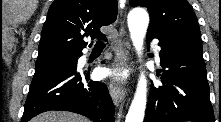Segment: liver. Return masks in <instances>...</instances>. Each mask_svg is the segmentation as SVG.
Wrapping results in <instances>:
<instances>
[{"label": "liver", "instance_id": "6515ba94", "mask_svg": "<svg viewBox=\"0 0 221 122\" xmlns=\"http://www.w3.org/2000/svg\"><path fill=\"white\" fill-rule=\"evenodd\" d=\"M31 122H89L87 118L65 111H49L34 117Z\"/></svg>", "mask_w": 221, "mask_h": 122}]
</instances>
